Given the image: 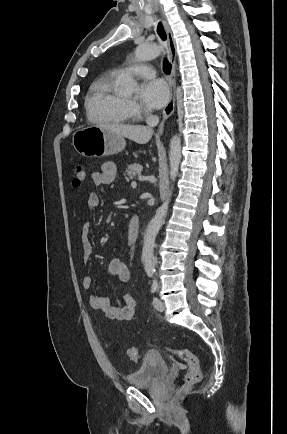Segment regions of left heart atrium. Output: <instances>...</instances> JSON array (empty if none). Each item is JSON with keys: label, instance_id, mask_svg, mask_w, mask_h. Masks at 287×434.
Instances as JSON below:
<instances>
[{"label": "left heart atrium", "instance_id": "obj_1", "mask_svg": "<svg viewBox=\"0 0 287 434\" xmlns=\"http://www.w3.org/2000/svg\"><path fill=\"white\" fill-rule=\"evenodd\" d=\"M139 97L148 108L158 109L168 101L169 89L163 80H151L140 86Z\"/></svg>", "mask_w": 287, "mask_h": 434}]
</instances>
